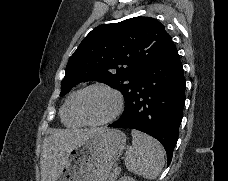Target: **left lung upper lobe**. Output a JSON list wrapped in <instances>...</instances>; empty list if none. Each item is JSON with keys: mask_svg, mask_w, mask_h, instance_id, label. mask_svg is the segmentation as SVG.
<instances>
[{"mask_svg": "<svg viewBox=\"0 0 228 181\" xmlns=\"http://www.w3.org/2000/svg\"><path fill=\"white\" fill-rule=\"evenodd\" d=\"M171 40L152 17H134L93 29L70 57L61 83L63 96L85 81L117 88L125 99L145 65Z\"/></svg>", "mask_w": 228, "mask_h": 181, "instance_id": "obj_1", "label": "left lung upper lobe"}]
</instances>
